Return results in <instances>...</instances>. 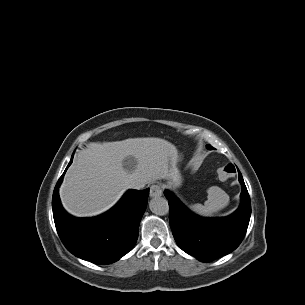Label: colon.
I'll return each mask as SVG.
<instances>
[{
	"instance_id": "5ec220e1",
	"label": "colon",
	"mask_w": 305,
	"mask_h": 305,
	"mask_svg": "<svg viewBox=\"0 0 305 305\" xmlns=\"http://www.w3.org/2000/svg\"><path fill=\"white\" fill-rule=\"evenodd\" d=\"M232 173L233 171L229 166L222 167L217 171L218 179L220 181H227L232 177Z\"/></svg>"
}]
</instances>
